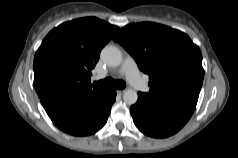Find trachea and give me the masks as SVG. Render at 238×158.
<instances>
[{"mask_svg":"<svg viewBox=\"0 0 238 158\" xmlns=\"http://www.w3.org/2000/svg\"><path fill=\"white\" fill-rule=\"evenodd\" d=\"M94 83L97 86L115 87L116 89H124L126 87V83L123 80H113L112 78H106L104 80H100Z\"/></svg>","mask_w":238,"mask_h":158,"instance_id":"trachea-1","label":"trachea"}]
</instances>
